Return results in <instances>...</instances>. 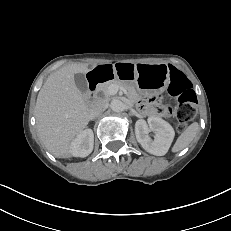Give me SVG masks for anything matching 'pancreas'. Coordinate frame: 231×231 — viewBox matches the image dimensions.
Wrapping results in <instances>:
<instances>
[{"instance_id":"1","label":"pancreas","mask_w":231,"mask_h":231,"mask_svg":"<svg viewBox=\"0 0 231 231\" xmlns=\"http://www.w3.org/2000/svg\"><path fill=\"white\" fill-rule=\"evenodd\" d=\"M112 85H116V86H118V87L121 88V89H125L128 98H129L130 100H132V101L135 100L136 95H137L136 89H135L132 85H130L129 83L124 82V81H121V80H118V79L113 80V81H111V82H107V83L102 84V85L99 87V89L104 93V95H105L106 97H108V96L111 95L109 89H110V87H111Z\"/></svg>"}]
</instances>
